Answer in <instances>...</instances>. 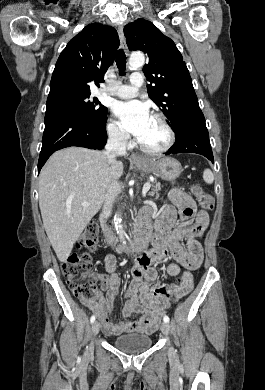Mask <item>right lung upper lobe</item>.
<instances>
[{
	"label": "right lung upper lobe",
	"mask_w": 265,
	"mask_h": 390,
	"mask_svg": "<svg viewBox=\"0 0 265 390\" xmlns=\"http://www.w3.org/2000/svg\"><path fill=\"white\" fill-rule=\"evenodd\" d=\"M117 31L110 26L87 25L61 52L50 82L48 99L90 93V84L104 82L103 73L115 59Z\"/></svg>",
	"instance_id": "1"
}]
</instances>
